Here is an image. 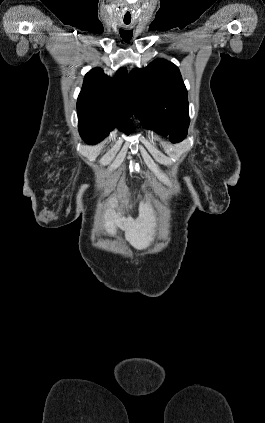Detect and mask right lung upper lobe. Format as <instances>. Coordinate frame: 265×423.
Listing matches in <instances>:
<instances>
[{"label":"right lung upper lobe","instance_id":"right-lung-upper-lobe-1","mask_svg":"<svg viewBox=\"0 0 265 423\" xmlns=\"http://www.w3.org/2000/svg\"><path fill=\"white\" fill-rule=\"evenodd\" d=\"M78 115L101 120L105 123L122 124L130 120L133 106L125 68L116 72L115 78L104 74L101 68L86 74L77 101Z\"/></svg>","mask_w":265,"mask_h":423}]
</instances>
